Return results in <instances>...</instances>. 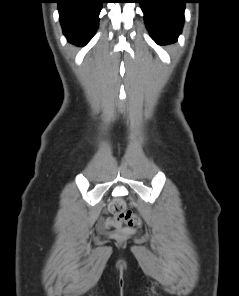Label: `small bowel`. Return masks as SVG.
<instances>
[{
    "instance_id": "obj_1",
    "label": "small bowel",
    "mask_w": 239,
    "mask_h": 296,
    "mask_svg": "<svg viewBox=\"0 0 239 296\" xmlns=\"http://www.w3.org/2000/svg\"><path fill=\"white\" fill-rule=\"evenodd\" d=\"M107 224L113 226L114 225V221L113 220H108L107 221Z\"/></svg>"
}]
</instances>
